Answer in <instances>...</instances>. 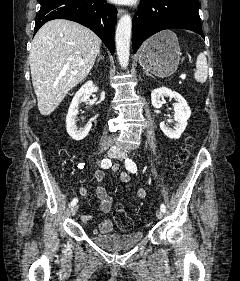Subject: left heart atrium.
Here are the masks:
<instances>
[{
    "instance_id": "1",
    "label": "left heart atrium",
    "mask_w": 240,
    "mask_h": 281,
    "mask_svg": "<svg viewBox=\"0 0 240 281\" xmlns=\"http://www.w3.org/2000/svg\"><path fill=\"white\" fill-rule=\"evenodd\" d=\"M110 1L118 4H132L135 2V0H110Z\"/></svg>"
}]
</instances>
